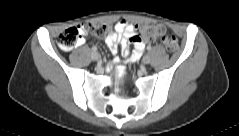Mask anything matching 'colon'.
Listing matches in <instances>:
<instances>
[{
  "mask_svg": "<svg viewBox=\"0 0 239 136\" xmlns=\"http://www.w3.org/2000/svg\"><path fill=\"white\" fill-rule=\"evenodd\" d=\"M111 29V25L105 23H85L71 27L58 36V45L64 50L72 49L78 44L82 35L89 33L95 37H103L108 34ZM136 39H145L147 41L159 40L169 52H175L178 49L177 38L165 34L164 28L160 25L146 24L141 26Z\"/></svg>",
  "mask_w": 239,
  "mask_h": 136,
  "instance_id": "obj_1",
  "label": "colon"
}]
</instances>
